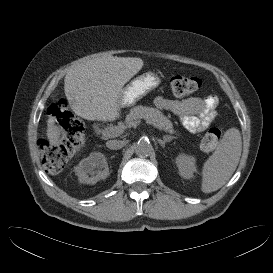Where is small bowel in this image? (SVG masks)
<instances>
[{
	"label": "small bowel",
	"mask_w": 273,
	"mask_h": 273,
	"mask_svg": "<svg viewBox=\"0 0 273 273\" xmlns=\"http://www.w3.org/2000/svg\"><path fill=\"white\" fill-rule=\"evenodd\" d=\"M154 104L157 109L170 111L178 116L184 128L191 133L203 132L218 118V99L215 95L186 100H173L159 96Z\"/></svg>",
	"instance_id": "small-bowel-1"
}]
</instances>
